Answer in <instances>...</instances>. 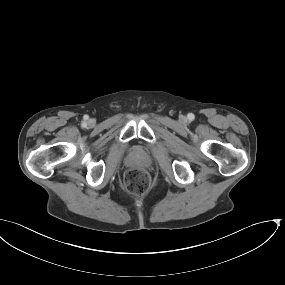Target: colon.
Segmentation results:
<instances>
[{
  "mask_svg": "<svg viewBox=\"0 0 285 285\" xmlns=\"http://www.w3.org/2000/svg\"><path fill=\"white\" fill-rule=\"evenodd\" d=\"M124 184L130 193L134 195H144L151 187V177L145 170L133 168L126 172Z\"/></svg>",
  "mask_w": 285,
  "mask_h": 285,
  "instance_id": "obj_1",
  "label": "colon"
}]
</instances>
